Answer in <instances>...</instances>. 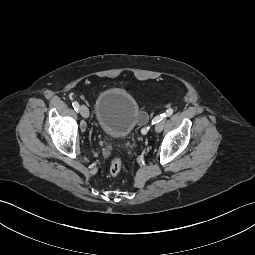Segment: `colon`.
Listing matches in <instances>:
<instances>
[{
    "instance_id": "5ec220e1",
    "label": "colon",
    "mask_w": 255,
    "mask_h": 255,
    "mask_svg": "<svg viewBox=\"0 0 255 255\" xmlns=\"http://www.w3.org/2000/svg\"><path fill=\"white\" fill-rule=\"evenodd\" d=\"M146 115H142L140 118L141 122L146 121ZM122 171V161L120 158L116 157L112 160L109 166V174L113 177L118 176Z\"/></svg>"
}]
</instances>
